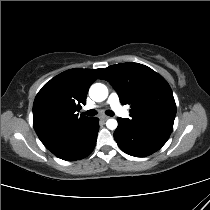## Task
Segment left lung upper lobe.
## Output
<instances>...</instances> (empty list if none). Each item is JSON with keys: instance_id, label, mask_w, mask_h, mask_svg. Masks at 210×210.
<instances>
[{"instance_id": "1", "label": "left lung upper lobe", "mask_w": 210, "mask_h": 210, "mask_svg": "<svg viewBox=\"0 0 210 210\" xmlns=\"http://www.w3.org/2000/svg\"><path fill=\"white\" fill-rule=\"evenodd\" d=\"M100 78L110 82L122 104L131 105V118H121L125 125L170 136L176 104L161 75L145 65L129 62L107 67Z\"/></svg>"}]
</instances>
